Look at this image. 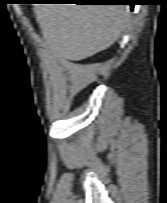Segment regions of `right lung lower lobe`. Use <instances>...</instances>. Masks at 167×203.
Here are the masks:
<instances>
[{
  "mask_svg": "<svg viewBox=\"0 0 167 203\" xmlns=\"http://www.w3.org/2000/svg\"><path fill=\"white\" fill-rule=\"evenodd\" d=\"M114 1V0H113ZM116 1V0H115ZM117 1H123V0H117ZM104 3V2H103ZM106 3V2H105ZM107 3H118V2H107ZM130 6H131V10H133L134 8V3H130Z\"/></svg>",
  "mask_w": 167,
  "mask_h": 203,
  "instance_id": "1",
  "label": "right lung lower lobe"
}]
</instances>
